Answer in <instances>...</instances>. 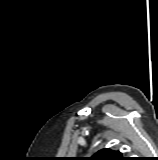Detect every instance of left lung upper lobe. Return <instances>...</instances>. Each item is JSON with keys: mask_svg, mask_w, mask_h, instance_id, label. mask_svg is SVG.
<instances>
[{"mask_svg": "<svg viewBox=\"0 0 158 160\" xmlns=\"http://www.w3.org/2000/svg\"><path fill=\"white\" fill-rule=\"evenodd\" d=\"M87 160H129L123 157L119 151H113L109 148L99 150L92 157Z\"/></svg>", "mask_w": 158, "mask_h": 160, "instance_id": "1", "label": "left lung upper lobe"}]
</instances>
